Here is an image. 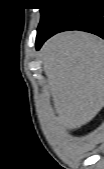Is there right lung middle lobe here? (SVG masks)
<instances>
[{
  "mask_svg": "<svg viewBox=\"0 0 104 169\" xmlns=\"http://www.w3.org/2000/svg\"><path fill=\"white\" fill-rule=\"evenodd\" d=\"M66 0H44L41 3V21L39 23L38 29L44 27L48 20L58 11L62 4L66 3Z\"/></svg>",
  "mask_w": 104,
  "mask_h": 169,
  "instance_id": "right-lung-middle-lobe-1",
  "label": "right lung middle lobe"
}]
</instances>
